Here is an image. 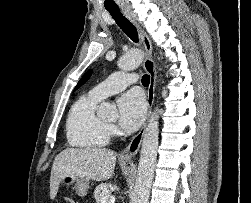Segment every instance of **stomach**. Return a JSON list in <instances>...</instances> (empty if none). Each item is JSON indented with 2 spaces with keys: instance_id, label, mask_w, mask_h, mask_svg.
I'll list each match as a JSON object with an SVG mask.
<instances>
[{
  "instance_id": "0dacf381",
  "label": "stomach",
  "mask_w": 251,
  "mask_h": 203,
  "mask_svg": "<svg viewBox=\"0 0 251 203\" xmlns=\"http://www.w3.org/2000/svg\"><path fill=\"white\" fill-rule=\"evenodd\" d=\"M61 184L66 187L74 184L76 193L81 197L86 196L90 188V181L88 178L72 175L64 176L61 180Z\"/></svg>"
}]
</instances>
